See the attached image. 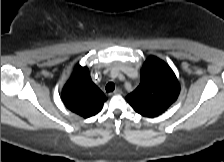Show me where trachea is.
<instances>
[{
	"label": "trachea",
	"instance_id": "trachea-1",
	"mask_svg": "<svg viewBox=\"0 0 224 162\" xmlns=\"http://www.w3.org/2000/svg\"><path fill=\"white\" fill-rule=\"evenodd\" d=\"M115 89V84L113 82H109L107 85H106V92L109 93V92H113Z\"/></svg>",
	"mask_w": 224,
	"mask_h": 162
}]
</instances>
